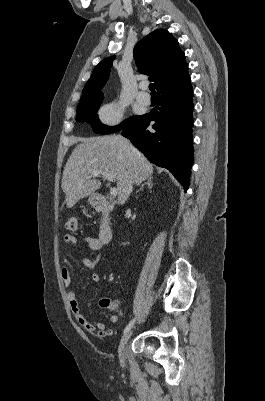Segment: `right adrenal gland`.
Wrapping results in <instances>:
<instances>
[{"label": "right adrenal gland", "mask_w": 265, "mask_h": 401, "mask_svg": "<svg viewBox=\"0 0 265 401\" xmlns=\"http://www.w3.org/2000/svg\"><path fill=\"white\" fill-rule=\"evenodd\" d=\"M153 176H148L147 182H144V184H141L139 190H143L145 184H147L148 188H152L153 182H152ZM139 190H136V192H139Z\"/></svg>", "instance_id": "2a0ac1e0"}]
</instances>
